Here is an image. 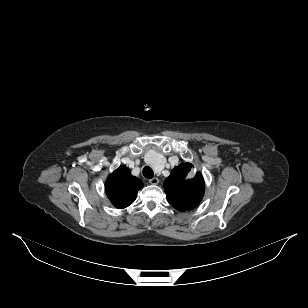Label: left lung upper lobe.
I'll use <instances>...</instances> for the list:
<instances>
[{
	"label": "left lung upper lobe",
	"instance_id": "left-lung-upper-lobe-1",
	"mask_svg": "<svg viewBox=\"0 0 308 308\" xmlns=\"http://www.w3.org/2000/svg\"><path fill=\"white\" fill-rule=\"evenodd\" d=\"M190 170V163H181L164 181L167 199L179 211H187L196 207L204 194L202 175L198 172L194 178L190 179Z\"/></svg>",
	"mask_w": 308,
	"mask_h": 308
}]
</instances>
